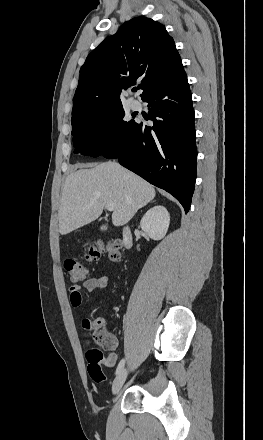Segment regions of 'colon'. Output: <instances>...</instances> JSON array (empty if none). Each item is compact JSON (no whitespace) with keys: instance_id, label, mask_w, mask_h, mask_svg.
Instances as JSON below:
<instances>
[{"instance_id":"obj_1","label":"colon","mask_w":263,"mask_h":440,"mask_svg":"<svg viewBox=\"0 0 263 440\" xmlns=\"http://www.w3.org/2000/svg\"><path fill=\"white\" fill-rule=\"evenodd\" d=\"M120 249V240H114L106 244L99 243L96 245H87L83 249L82 258L70 257L65 261V271L72 282H81L88 276V269L84 261H96L101 256L107 254L114 262H120ZM83 328L92 341V343H89L86 351L88 373L94 381L102 382L105 380V375L102 369L103 362L105 361L108 367H113L116 360L113 354H110L105 358L104 353L100 348V346H105L110 338L95 327L93 320H84Z\"/></svg>"}]
</instances>
